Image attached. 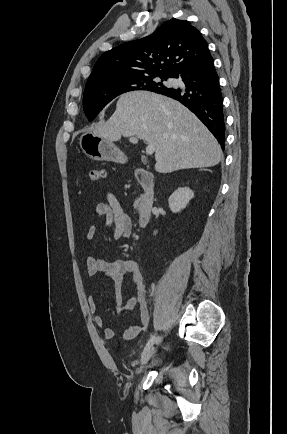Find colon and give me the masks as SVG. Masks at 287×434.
<instances>
[{"instance_id":"1","label":"colon","mask_w":287,"mask_h":434,"mask_svg":"<svg viewBox=\"0 0 287 434\" xmlns=\"http://www.w3.org/2000/svg\"><path fill=\"white\" fill-rule=\"evenodd\" d=\"M105 171L102 168L94 167L89 170V178L93 182H97L104 177Z\"/></svg>"}]
</instances>
